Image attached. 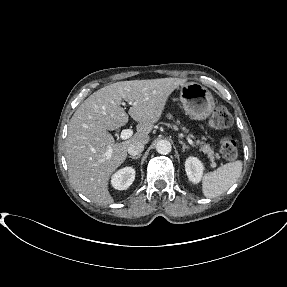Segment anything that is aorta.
I'll return each mask as SVG.
<instances>
[{
  "label": "aorta",
  "instance_id": "762f6f07",
  "mask_svg": "<svg viewBox=\"0 0 287 287\" xmlns=\"http://www.w3.org/2000/svg\"><path fill=\"white\" fill-rule=\"evenodd\" d=\"M172 150L171 143L168 140H159L156 144V151L159 154L166 155Z\"/></svg>",
  "mask_w": 287,
  "mask_h": 287
}]
</instances>
